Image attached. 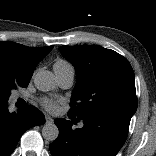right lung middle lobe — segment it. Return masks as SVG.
I'll return each instance as SVG.
<instances>
[{"mask_svg":"<svg viewBox=\"0 0 156 156\" xmlns=\"http://www.w3.org/2000/svg\"><path fill=\"white\" fill-rule=\"evenodd\" d=\"M29 82H20L9 76L0 75V99L8 100L11 90L17 87H26Z\"/></svg>","mask_w":156,"mask_h":156,"instance_id":"obj_1","label":"right lung middle lobe"}]
</instances>
